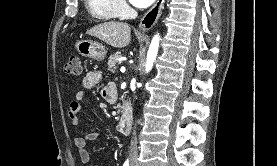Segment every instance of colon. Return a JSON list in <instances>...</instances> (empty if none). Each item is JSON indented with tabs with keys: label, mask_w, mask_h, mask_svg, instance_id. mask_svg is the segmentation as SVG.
<instances>
[{
	"label": "colon",
	"mask_w": 277,
	"mask_h": 166,
	"mask_svg": "<svg viewBox=\"0 0 277 166\" xmlns=\"http://www.w3.org/2000/svg\"><path fill=\"white\" fill-rule=\"evenodd\" d=\"M65 71L68 74L78 76L82 73L81 59L77 55H72L65 64Z\"/></svg>",
	"instance_id": "obj_1"
}]
</instances>
